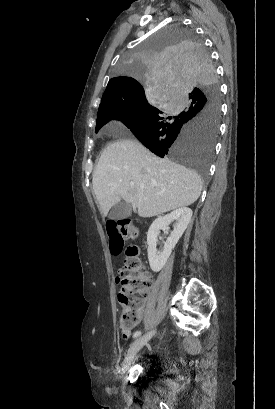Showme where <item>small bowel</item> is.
<instances>
[{
  "instance_id": "c3829d8e",
  "label": "small bowel",
  "mask_w": 275,
  "mask_h": 409,
  "mask_svg": "<svg viewBox=\"0 0 275 409\" xmlns=\"http://www.w3.org/2000/svg\"><path fill=\"white\" fill-rule=\"evenodd\" d=\"M122 278L121 277H116L115 279H114V282H115V286L116 287H119L120 286V284L122 283ZM121 340L123 341V342H128L129 340H130V331L129 330H124L123 331V334L121 335Z\"/></svg>"
}]
</instances>
